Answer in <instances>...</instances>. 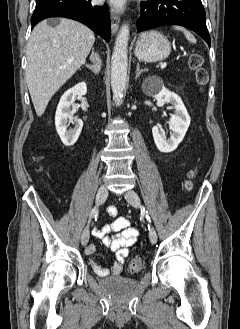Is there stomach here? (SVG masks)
I'll list each match as a JSON object with an SVG mask.
<instances>
[{
    "label": "stomach",
    "instance_id": "0dacf381",
    "mask_svg": "<svg viewBox=\"0 0 240 329\" xmlns=\"http://www.w3.org/2000/svg\"><path fill=\"white\" fill-rule=\"evenodd\" d=\"M170 52V42L163 34L147 31L139 36L134 54L140 61L157 62L167 58Z\"/></svg>",
    "mask_w": 240,
    "mask_h": 329
}]
</instances>
